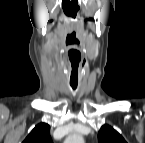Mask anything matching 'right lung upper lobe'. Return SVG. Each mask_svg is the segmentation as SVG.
Instances as JSON below:
<instances>
[{
  "mask_svg": "<svg viewBox=\"0 0 145 143\" xmlns=\"http://www.w3.org/2000/svg\"><path fill=\"white\" fill-rule=\"evenodd\" d=\"M49 130L50 126L47 123H39L30 132L23 143H52Z\"/></svg>",
  "mask_w": 145,
  "mask_h": 143,
  "instance_id": "1",
  "label": "right lung upper lobe"
}]
</instances>
